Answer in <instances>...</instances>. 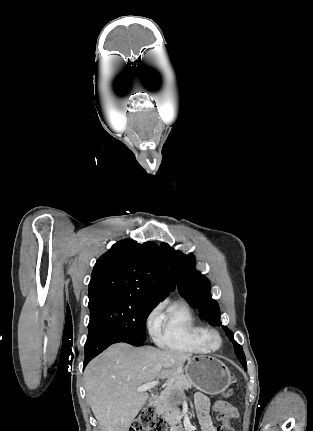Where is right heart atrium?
<instances>
[{
  "instance_id": "d8ad5b80",
  "label": "right heart atrium",
  "mask_w": 313,
  "mask_h": 431,
  "mask_svg": "<svg viewBox=\"0 0 313 431\" xmlns=\"http://www.w3.org/2000/svg\"><path fill=\"white\" fill-rule=\"evenodd\" d=\"M161 326L160 308H153L147 316V327L153 337L156 338Z\"/></svg>"
}]
</instances>
